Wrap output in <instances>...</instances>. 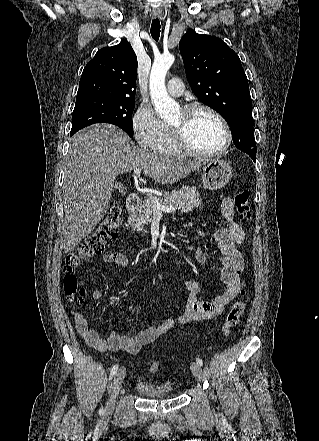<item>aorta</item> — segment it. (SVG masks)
Segmentation results:
<instances>
[{"label":"aorta","instance_id":"1","mask_svg":"<svg viewBox=\"0 0 319 441\" xmlns=\"http://www.w3.org/2000/svg\"><path fill=\"white\" fill-rule=\"evenodd\" d=\"M172 54H163L154 60L150 73V95L158 116L163 120L171 119L178 110V104L169 97L165 87V76L174 63Z\"/></svg>","mask_w":319,"mask_h":441}]
</instances>
